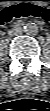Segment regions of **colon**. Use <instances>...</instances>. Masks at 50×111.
<instances>
[{"mask_svg":"<svg viewBox=\"0 0 50 111\" xmlns=\"http://www.w3.org/2000/svg\"><path fill=\"white\" fill-rule=\"evenodd\" d=\"M28 17L50 21V10L45 6L30 2H22L17 5L6 7L1 11L0 24L6 26L16 19Z\"/></svg>","mask_w":50,"mask_h":111,"instance_id":"1","label":"colon"}]
</instances>
